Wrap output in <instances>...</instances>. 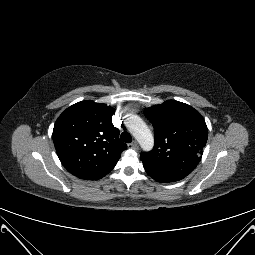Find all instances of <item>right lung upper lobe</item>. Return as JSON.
Segmentation results:
<instances>
[{"label":"right lung upper lobe","instance_id":"right-lung-upper-lobe-1","mask_svg":"<svg viewBox=\"0 0 255 255\" xmlns=\"http://www.w3.org/2000/svg\"><path fill=\"white\" fill-rule=\"evenodd\" d=\"M113 113L114 108L87 100L70 106L57 119L53 142L61 163L76 177L101 179L127 148L112 124Z\"/></svg>","mask_w":255,"mask_h":255}]
</instances>
